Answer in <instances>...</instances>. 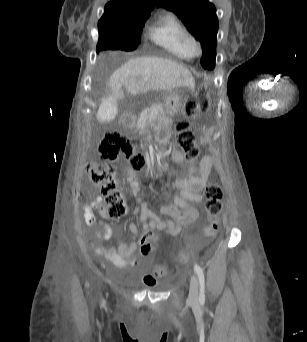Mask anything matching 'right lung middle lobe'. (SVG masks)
<instances>
[{"instance_id":"obj_1","label":"right lung middle lobe","mask_w":307,"mask_h":342,"mask_svg":"<svg viewBox=\"0 0 307 342\" xmlns=\"http://www.w3.org/2000/svg\"><path fill=\"white\" fill-rule=\"evenodd\" d=\"M140 34H120L99 32L97 52L101 50L132 51L139 44Z\"/></svg>"}]
</instances>
